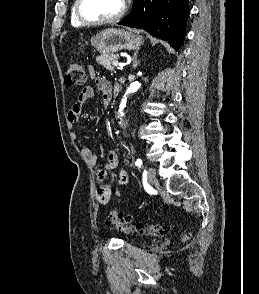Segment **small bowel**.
<instances>
[{"label":"small bowel","mask_w":259,"mask_h":294,"mask_svg":"<svg viewBox=\"0 0 259 294\" xmlns=\"http://www.w3.org/2000/svg\"><path fill=\"white\" fill-rule=\"evenodd\" d=\"M89 73H90V76L93 79H95L96 85H97L99 91L101 92L102 102H103L104 106H108L109 103L111 102L113 95L116 94L115 88L117 85H115L113 87L107 79L101 78V77H96L95 71L92 68L89 70ZM93 96H94V89L91 86H86L80 91V93L77 97V100L75 101V103L72 105V107L68 111L67 119H68L69 123L74 124L78 121V118L80 116V113L82 111L84 104L88 100L92 99ZM72 136L74 138H76L75 133H73ZM80 150L88 158V160L90 161V163L92 165H96V155L90 147H88L86 145H82L80 147ZM117 162H118L117 153L115 151H110V153L108 155L107 167L109 169H114L117 166ZM115 180L119 184L127 183L129 180L128 173L125 170H119L115 174ZM112 195H113V193H112V189L110 186V179L107 175V172L104 170H101L98 172V186L96 189L97 201L101 205H106L109 203ZM115 195L120 196V193L115 192Z\"/></svg>","instance_id":"obj_1"}]
</instances>
